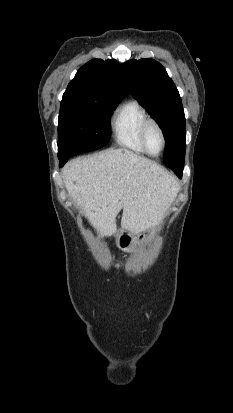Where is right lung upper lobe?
<instances>
[{"label": "right lung upper lobe", "instance_id": "cb5924a9", "mask_svg": "<svg viewBox=\"0 0 233 413\" xmlns=\"http://www.w3.org/2000/svg\"><path fill=\"white\" fill-rule=\"evenodd\" d=\"M127 86L119 63L93 59L83 65L64 93L95 98L122 99Z\"/></svg>", "mask_w": 233, "mask_h": 413}]
</instances>
